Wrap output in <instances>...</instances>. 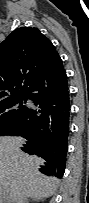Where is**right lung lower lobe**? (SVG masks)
<instances>
[{
    "instance_id": "obj_1",
    "label": "right lung lower lobe",
    "mask_w": 89,
    "mask_h": 203,
    "mask_svg": "<svg viewBox=\"0 0 89 203\" xmlns=\"http://www.w3.org/2000/svg\"><path fill=\"white\" fill-rule=\"evenodd\" d=\"M27 98L37 108L28 109L8 135L27 139L21 150L45 160L39 171L61 178L65 171L70 123L68 83L63 64L42 76Z\"/></svg>"
}]
</instances>
